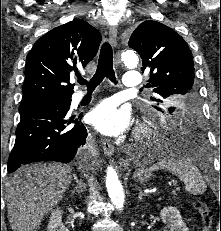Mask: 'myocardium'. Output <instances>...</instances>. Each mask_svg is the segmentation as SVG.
Instances as JSON below:
<instances>
[{
	"label": "myocardium",
	"instance_id": "obj_1",
	"mask_svg": "<svg viewBox=\"0 0 221 231\" xmlns=\"http://www.w3.org/2000/svg\"><path fill=\"white\" fill-rule=\"evenodd\" d=\"M150 134H151V129L148 128L146 125H141L137 130L136 137L144 138L150 136Z\"/></svg>",
	"mask_w": 221,
	"mask_h": 231
}]
</instances>
